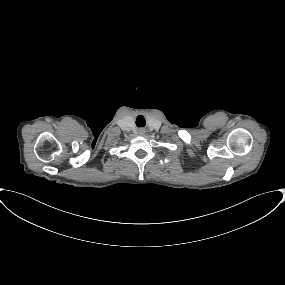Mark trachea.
I'll return each instance as SVG.
<instances>
[{
    "label": "trachea",
    "mask_w": 285,
    "mask_h": 285,
    "mask_svg": "<svg viewBox=\"0 0 285 285\" xmlns=\"http://www.w3.org/2000/svg\"><path fill=\"white\" fill-rule=\"evenodd\" d=\"M136 125L138 127H144L146 125L145 118L143 116L139 115L136 119Z\"/></svg>",
    "instance_id": "1"
}]
</instances>
